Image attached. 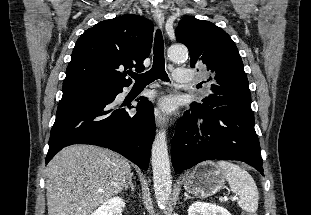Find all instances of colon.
<instances>
[{
  "label": "colon",
  "mask_w": 311,
  "mask_h": 215,
  "mask_svg": "<svg viewBox=\"0 0 311 215\" xmlns=\"http://www.w3.org/2000/svg\"><path fill=\"white\" fill-rule=\"evenodd\" d=\"M243 215H258L256 213H244Z\"/></svg>",
  "instance_id": "obj_1"
}]
</instances>
